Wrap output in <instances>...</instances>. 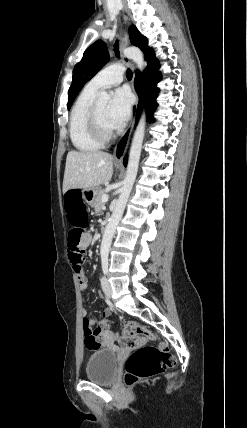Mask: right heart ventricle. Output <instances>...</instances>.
Wrapping results in <instances>:
<instances>
[{
	"label": "right heart ventricle",
	"mask_w": 247,
	"mask_h": 428,
	"mask_svg": "<svg viewBox=\"0 0 247 428\" xmlns=\"http://www.w3.org/2000/svg\"><path fill=\"white\" fill-rule=\"evenodd\" d=\"M98 91L86 86L76 99L69 121V133L72 144L82 152L98 150L102 143L97 141L88 126V117Z\"/></svg>",
	"instance_id": "e07e8e85"
}]
</instances>
